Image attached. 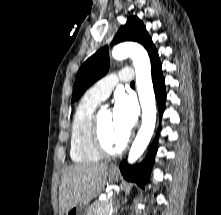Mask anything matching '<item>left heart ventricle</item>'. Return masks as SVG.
<instances>
[{
    "label": "left heart ventricle",
    "instance_id": "b2bd125f",
    "mask_svg": "<svg viewBox=\"0 0 221 215\" xmlns=\"http://www.w3.org/2000/svg\"><path fill=\"white\" fill-rule=\"evenodd\" d=\"M100 124L102 136L107 147L110 149L119 148L126 138L116 130L113 123V112L110 110L102 111L100 114Z\"/></svg>",
    "mask_w": 221,
    "mask_h": 215
}]
</instances>
